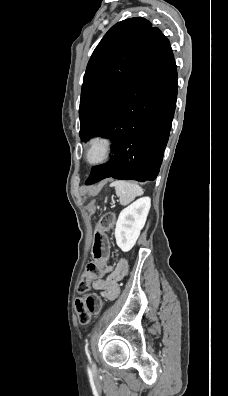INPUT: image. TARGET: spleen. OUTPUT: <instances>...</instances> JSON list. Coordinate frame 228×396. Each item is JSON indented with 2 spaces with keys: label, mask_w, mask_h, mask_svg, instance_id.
<instances>
[{
  "label": "spleen",
  "mask_w": 228,
  "mask_h": 396,
  "mask_svg": "<svg viewBox=\"0 0 228 396\" xmlns=\"http://www.w3.org/2000/svg\"><path fill=\"white\" fill-rule=\"evenodd\" d=\"M111 186L115 188V193L119 197L120 204L124 206L132 202L137 196L143 194L142 188L133 182L117 180Z\"/></svg>",
  "instance_id": "obj_1"
}]
</instances>
